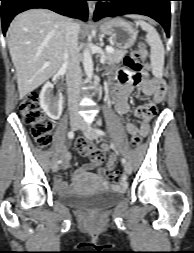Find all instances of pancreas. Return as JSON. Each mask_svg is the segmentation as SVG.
<instances>
[{"label": "pancreas", "mask_w": 194, "mask_h": 253, "mask_svg": "<svg viewBox=\"0 0 194 253\" xmlns=\"http://www.w3.org/2000/svg\"><path fill=\"white\" fill-rule=\"evenodd\" d=\"M126 51L113 49L112 53L106 52V61L108 64L119 63L125 56Z\"/></svg>", "instance_id": "cf45deb5"}]
</instances>
